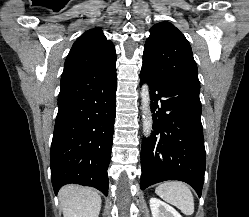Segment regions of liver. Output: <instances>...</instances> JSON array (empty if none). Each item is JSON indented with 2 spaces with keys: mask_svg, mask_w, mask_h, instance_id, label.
<instances>
[{
  "mask_svg": "<svg viewBox=\"0 0 249 217\" xmlns=\"http://www.w3.org/2000/svg\"><path fill=\"white\" fill-rule=\"evenodd\" d=\"M64 217H98L101 197L92 188L67 185L59 191Z\"/></svg>",
  "mask_w": 249,
  "mask_h": 217,
  "instance_id": "liver-1",
  "label": "liver"
}]
</instances>
